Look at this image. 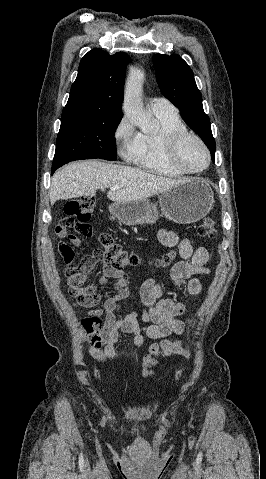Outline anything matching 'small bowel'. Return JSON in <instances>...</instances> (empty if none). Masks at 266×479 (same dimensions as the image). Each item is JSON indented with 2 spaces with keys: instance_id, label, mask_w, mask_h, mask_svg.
I'll return each mask as SVG.
<instances>
[{
  "instance_id": "c3829d8e",
  "label": "small bowel",
  "mask_w": 266,
  "mask_h": 479,
  "mask_svg": "<svg viewBox=\"0 0 266 479\" xmlns=\"http://www.w3.org/2000/svg\"><path fill=\"white\" fill-rule=\"evenodd\" d=\"M66 237L70 243H79L71 235L67 234ZM159 240L167 247L178 246L181 261L173 266L170 273L176 288L189 295L199 296L202 285L194 276L209 273L206 267L208 251L204 247L195 248L193 239L180 238L175 232L165 229L160 230ZM98 263H102L101 254L94 252L83 261L80 268H68L66 270L68 284L74 276H79V283L83 284L86 274ZM102 273L105 277L116 279L119 288L114 295L105 300L102 308L90 309L81 321V326L87 333L88 352L95 360L111 363L119 359L115 343L120 333L132 335L133 346L139 348L143 342L142 334L151 339H162L183 332L185 322L177 317L185 312V303L164 298L162 287L154 279L146 280L140 288L144 308L124 315L121 313L120 302L130 295L127 274L106 263H102ZM75 298L74 305L87 308L93 306L89 305L85 298ZM103 312L105 318L101 319ZM139 318L144 323L143 327L139 325Z\"/></svg>"
}]
</instances>
